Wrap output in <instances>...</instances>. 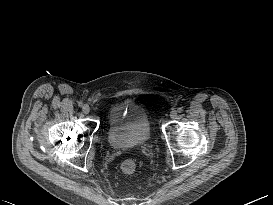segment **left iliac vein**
<instances>
[{
    "label": "left iliac vein",
    "instance_id": "left-iliac-vein-1",
    "mask_svg": "<svg viewBox=\"0 0 273 205\" xmlns=\"http://www.w3.org/2000/svg\"><path fill=\"white\" fill-rule=\"evenodd\" d=\"M170 117H171L172 119H175V118L177 117V111L172 110V111L170 112Z\"/></svg>",
    "mask_w": 273,
    "mask_h": 205
}]
</instances>
